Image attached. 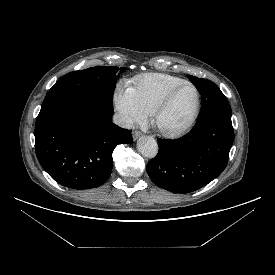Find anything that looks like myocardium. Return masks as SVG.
<instances>
[{"label":"myocardium","instance_id":"myocardium-1","mask_svg":"<svg viewBox=\"0 0 275 275\" xmlns=\"http://www.w3.org/2000/svg\"><path fill=\"white\" fill-rule=\"evenodd\" d=\"M183 86L192 87L193 90L195 91V94H196V105H195V109L193 111V114H192L191 118L189 119V121L186 124H184L180 128H177V129H174V130L161 129L157 125L158 116L168 106V104L170 103V101H171L173 95L175 94V92ZM200 111H201V94H200L199 89L192 82L184 80V81L174 85L173 87H171L162 96V98L157 102V104L154 106V108L152 109V111L150 113L151 122L159 130V132L161 134H163L164 136H166V137H176V136H180V135L186 133L187 131H189L195 125V123L197 122V120L199 118Z\"/></svg>","mask_w":275,"mask_h":275}]
</instances>
